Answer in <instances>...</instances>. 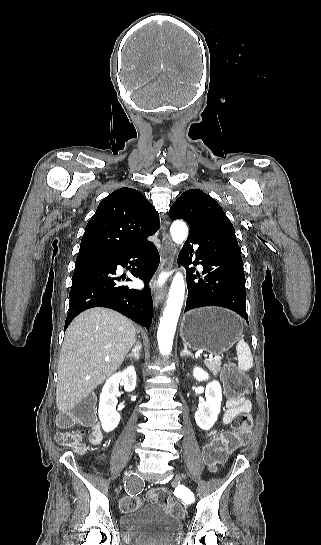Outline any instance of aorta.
Returning a JSON list of instances; mask_svg holds the SVG:
<instances>
[{
	"label": "aorta",
	"mask_w": 321,
	"mask_h": 545,
	"mask_svg": "<svg viewBox=\"0 0 321 545\" xmlns=\"http://www.w3.org/2000/svg\"><path fill=\"white\" fill-rule=\"evenodd\" d=\"M170 233L176 244H182L188 235V228L182 221H175L170 227ZM185 294V281L181 273H177L172 281L166 307L157 332L160 353L169 355L172 350L173 338L182 309Z\"/></svg>",
	"instance_id": "aorta-1"
}]
</instances>
